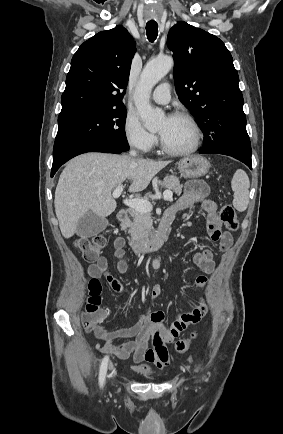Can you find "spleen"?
Wrapping results in <instances>:
<instances>
[{
	"label": "spleen",
	"instance_id": "1",
	"mask_svg": "<svg viewBox=\"0 0 283 434\" xmlns=\"http://www.w3.org/2000/svg\"><path fill=\"white\" fill-rule=\"evenodd\" d=\"M249 178L245 171L238 169L232 179L231 187L234 191L233 206L242 212L247 209L249 203Z\"/></svg>",
	"mask_w": 283,
	"mask_h": 434
}]
</instances>
